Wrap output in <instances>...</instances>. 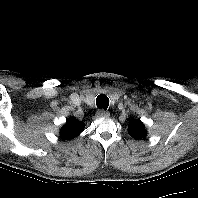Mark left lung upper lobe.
I'll return each instance as SVG.
<instances>
[{"instance_id":"left-lung-upper-lobe-1","label":"left lung upper lobe","mask_w":198,"mask_h":198,"mask_svg":"<svg viewBox=\"0 0 198 198\" xmlns=\"http://www.w3.org/2000/svg\"><path fill=\"white\" fill-rule=\"evenodd\" d=\"M128 133L134 139H143L145 138L147 131L144 124L139 119H136L128 125Z\"/></svg>"}]
</instances>
